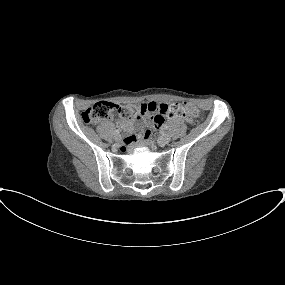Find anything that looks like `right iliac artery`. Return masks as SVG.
Instances as JSON below:
<instances>
[{"label":"right iliac artery","instance_id":"right-iliac-artery-1","mask_svg":"<svg viewBox=\"0 0 285 285\" xmlns=\"http://www.w3.org/2000/svg\"><path fill=\"white\" fill-rule=\"evenodd\" d=\"M115 133H116V134H119V133H120V130H119V129L115 130Z\"/></svg>","mask_w":285,"mask_h":285}]
</instances>
